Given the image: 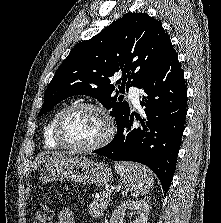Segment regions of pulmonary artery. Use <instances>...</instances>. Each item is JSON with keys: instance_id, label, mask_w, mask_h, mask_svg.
I'll return each instance as SVG.
<instances>
[{"instance_id": "1", "label": "pulmonary artery", "mask_w": 221, "mask_h": 223, "mask_svg": "<svg viewBox=\"0 0 221 223\" xmlns=\"http://www.w3.org/2000/svg\"><path fill=\"white\" fill-rule=\"evenodd\" d=\"M140 93L141 91L138 88H131L129 90L128 97L130 98L135 107H139L140 105Z\"/></svg>"}]
</instances>
